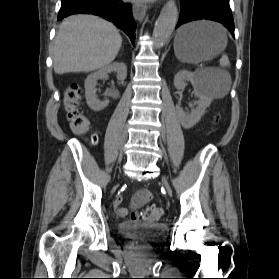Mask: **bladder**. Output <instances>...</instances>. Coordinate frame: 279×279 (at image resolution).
I'll return each mask as SVG.
<instances>
[{"instance_id": "1", "label": "bladder", "mask_w": 279, "mask_h": 279, "mask_svg": "<svg viewBox=\"0 0 279 279\" xmlns=\"http://www.w3.org/2000/svg\"><path fill=\"white\" fill-rule=\"evenodd\" d=\"M119 236L146 243L158 242L165 238L168 229L163 223L124 221L117 227Z\"/></svg>"}]
</instances>
